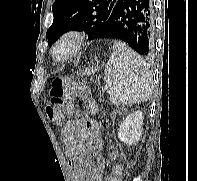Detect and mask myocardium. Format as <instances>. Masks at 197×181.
Instances as JSON below:
<instances>
[{"instance_id": "f54148a6", "label": "myocardium", "mask_w": 197, "mask_h": 181, "mask_svg": "<svg viewBox=\"0 0 197 181\" xmlns=\"http://www.w3.org/2000/svg\"><path fill=\"white\" fill-rule=\"evenodd\" d=\"M86 39V34L81 30L72 29L64 32L59 36L53 46L52 57L58 62H67L71 60L84 47ZM65 43L70 44V50L66 55L58 56V49Z\"/></svg>"}]
</instances>
